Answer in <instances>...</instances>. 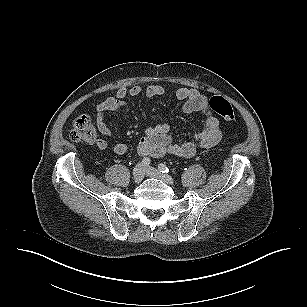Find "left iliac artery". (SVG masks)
Returning <instances> with one entry per match:
<instances>
[{"label": "left iliac artery", "mask_w": 307, "mask_h": 307, "mask_svg": "<svg viewBox=\"0 0 307 307\" xmlns=\"http://www.w3.org/2000/svg\"><path fill=\"white\" fill-rule=\"evenodd\" d=\"M158 169L160 170V172L162 173H169V168L165 165V164H159L158 165Z\"/></svg>", "instance_id": "obj_1"}]
</instances>
